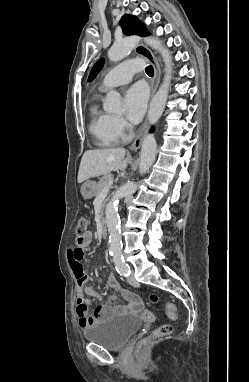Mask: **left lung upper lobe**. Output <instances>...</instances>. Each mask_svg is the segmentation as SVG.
Wrapping results in <instances>:
<instances>
[{
  "instance_id": "1",
  "label": "left lung upper lobe",
  "mask_w": 249,
  "mask_h": 382,
  "mask_svg": "<svg viewBox=\"0 0 249 382\" xmlns=\"http://www.w3.org/2000/svg\"><path fill=\"white\" fill-rule=\"evenodd\" d=\"M120 25L122 26L123 33L126 35H150V32L147 30L144 24H142L137 17L132 15L125 14L120 20ZM104 60L100 59L93 66L90 74L89 81H92L98 72L103 67Z\"/></svg>"
}]
</instances>
